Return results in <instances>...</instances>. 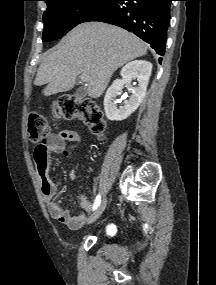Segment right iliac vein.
<instances>
[{
  "label": "right iliac vein",
  "instance_id": "63e3f726",
  "mask_svg": "<svg viewBox=\"0 0 216 285\" xmlns=\"http://www.w3.org/2000/svg\"><path fill=\"white\" fill-rule=\"evenodd\" d=\"M106 204H107V199L104 198L99 204V206L96 208V210L89 217L88 224L95 222L101 216V214L106 208Z\"/></svg>",
  "mask_w": 216,
  "mask_h": 285
}]
</instances>
